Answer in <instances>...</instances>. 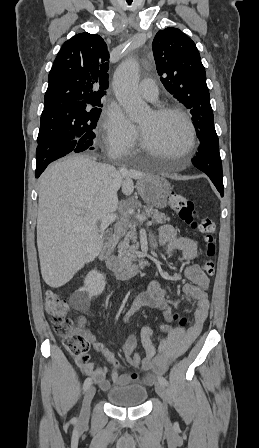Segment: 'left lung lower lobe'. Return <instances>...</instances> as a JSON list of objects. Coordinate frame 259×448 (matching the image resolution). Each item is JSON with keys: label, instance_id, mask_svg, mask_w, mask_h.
<instances>
[{"label": "left lung lower lobe", "instance_id": "0a47b994", "mask_svg": "<svg viewBox=\"0 0 259 448\" xmlns=\"http://www.w3.org/2000/svg\"><path fill=\"white\" fill-rule=\"evenodd\" d=\"M200 142L193 164L209 176L221 196H223V172L218 137L205 139Z\"/></svg>", "mask_w": 259, "mask_h": 448}]
</instances>
